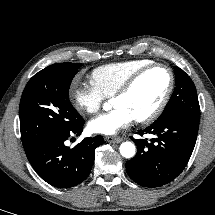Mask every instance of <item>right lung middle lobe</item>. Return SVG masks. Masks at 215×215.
<instances>
[{
  "instance_id": "obj_1",
  "label": "right lung middle lobe",
  "mask_w": 215,
  "mask_h": 215,
  "mask_svg": "<svg viewBox=\"0 0 215 215\" xmlns=\"http://www.w3.org/2000/svg\"><path fill=\"white\" fill-rule=\"evenodd\" d=\"M81 63H57L34 75L20 101V131L25 152L71 129L81 120L69 100V87Z\"/></svg>"
}]
</instances>
